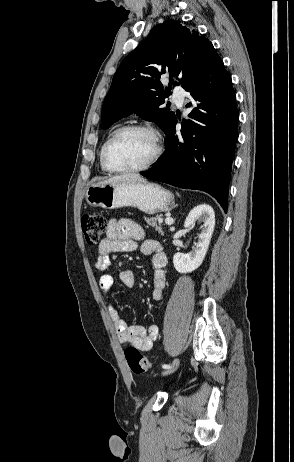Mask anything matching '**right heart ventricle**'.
Instances as JSON below:
<instances>
[{
  "mask_svg": "<svg viewBox=\"0 0 294 462\" xmlns=\"http://www.w3.org/2000/svg\"><path fill=\"white\" fill-rule=\"evenodd\" d=\"M113 132H114V131H112V133L109 135V137L113 134ZM109 137H108V138H109ZM108 138H107V139H108ZM106 141H107V140H106ZM106 141H105V142H106ZM105 142L102 144V146H101V148H100V151H99V163H100V168H101V170L104 171V172H106V170H105V168H104L103 165H102L101 153H102V149H103V146H104Z\"/></svg>",
  "mask_w": 294,
  "mask_h": 462,
  "instance_id": "e07e8e85",
  "label": "right heart ventricle"
}]
</instances>
